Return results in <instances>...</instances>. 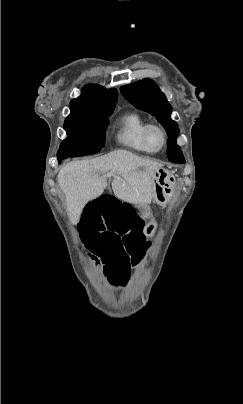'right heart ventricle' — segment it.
Returning a JSON list of instances; mask_svg holds the SVG:
<instances>
[{"label": "right heart ventricle", "instance_id": "e07e8e85", "mask_svg": "<svg viewBox=\"0 0 243 404\" xmlns=\"http://www.w3.org/2000/svg\"><path fill=\"white\" fill-rule=\"evenodd\" d=\"M147 120L138 112L123 114L117 123L115 140L122 148L138 154H156L161 148L151 146L143 136Z\"/></svg>", "mask_w": 243, "mask_h": 404}]
</instances>
